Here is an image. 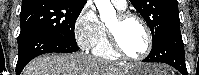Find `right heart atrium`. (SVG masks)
<instances>
[{"label":"right heart atrium","instance_id":"1","mask_svg":"<svg viewBox=\"0 0 199 75\" xmlns=\"http://www.w3.org/2000/svg\"><path fill=\"white\" fill-rule=\"evenodd\" d=\"M74 34L78 45L84 50L93 49L100 41L103 25L92 8H83L76 19Z\"/></svg>","mask_w":199,"mask_h":75}]
</instances>
